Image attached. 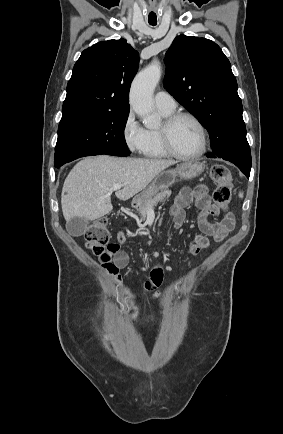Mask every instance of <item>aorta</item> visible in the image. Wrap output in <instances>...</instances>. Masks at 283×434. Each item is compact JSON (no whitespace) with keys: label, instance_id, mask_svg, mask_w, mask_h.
Here are the masks:
<instances>
[{"label":"aorta","instance_id":"obj_1","mask_svg":"<svg viewBox=\"0 0 283 434\" xmlns=\"http://www.w3.org/2000/svg\"><path fill=\"white\" fill-rule=\"evenodd\" d=\"M161 78V66L153 61L134 78L129 102L135 113L143 118V124L147 128H155L160 123V118L155 112L153 93Z\"/></svg>","mask_w":283,"mask_h":434}]
</instances>
